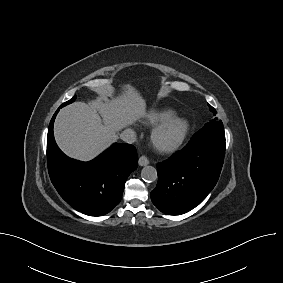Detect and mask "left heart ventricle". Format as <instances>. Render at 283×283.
<instances>
[{"mask_svg": "<svg viewBox=\"0 0 283 283\" xmlns=\"http://www.w3.org/2000/svg\"><path fill=\"white\" fill-rule=\"evenodd\" d=\"M178 133V129L176 126H172L168 129H166L160 136H159V141L161 143H167L173 140Z\"/></svg>", "mask_w": 283, "mask_h": 283, "instance_id": "left-heart-ventricle-1", "label": "left heart ventricle"}]
</instances>
